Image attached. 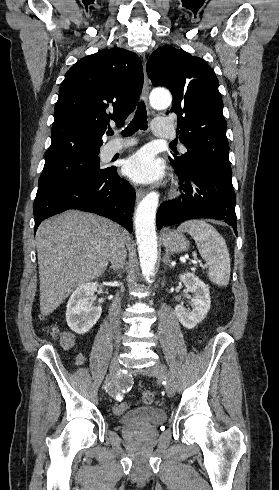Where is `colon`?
<instances>
[{"mask_svg":"<svg viewBox=\"0 0 279 490\" xmlns=\"http://www.w3.org/2000/svg\"><path fill=\"white\" fill-rule=\"evenodd\" d=\"M45 331L48 334L52 335L53 337L57 338L64 349H69L72 347L74 343V337L71 333L61 331L56 326L47 327L45 328ZM153 400H154L153 392L145 391L143 393L142 402L144 404L149 405L153 402ZM128 409H129V404L127 402H121L113 407V413L116 415H123L128 411Z\"/></svg>","mask_w":279,"mask_h":490,"instance_id":"1","label":"colon"}]
</instances>
